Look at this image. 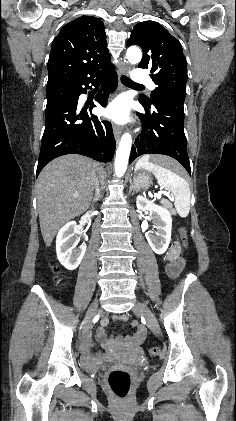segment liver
I'll return each mask as SVG.
<instances>
[{"instance_id":"6515ba94","label":"liver","mask_w":236,"mask_h":421,"mask_svg":"<svg viewBox=\"0 0 236 421\" xmlns=\"http://www.w3.org/2000/svg\"><path fill=\"white\" fill-rule=\"evenodd\" d=\"M155 162H174L152 154ZM101 162L81 154H63L51 160L36 180L40 229L46 247H50L59 229L87 211L98 184L96 174ZM73 194H78L74 198Z\"/></svg>"}]
</instances>
